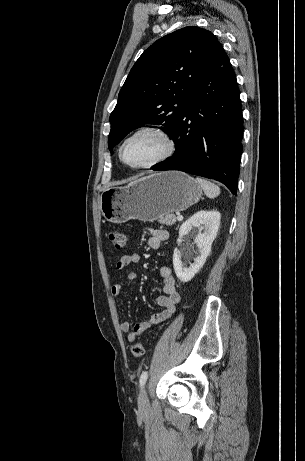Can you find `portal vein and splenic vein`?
<instances>
[{
  "label": "portal vein and splenic vein",
  "mask_w": 305,
  "mask_h": 461,
  "mask_svg": "<svg viewBox=\"0 0 305 461\" xmlns=\"http://www.w3.org/2000/svg\"><path fill=\"white\" fill-rule=\"evenodd\" d=\"M177 220H178V221H182V220H183V216L180 215L179 213L177 214Z\"/></svg>",
  "instance_id": "portal-vein-and-splenic-vein-1"
}]
</instances>
